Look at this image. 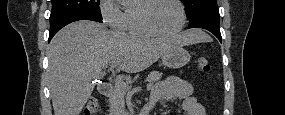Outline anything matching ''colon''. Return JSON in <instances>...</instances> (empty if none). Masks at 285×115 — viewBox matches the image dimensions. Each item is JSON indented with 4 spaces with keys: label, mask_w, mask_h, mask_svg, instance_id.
<instances>
[{
    "label": "colon",
    "mask_w": 285,
    "mask_h": 115,
    "mask_svg": "<svg viewBox=\"0 0 285 115\" xmlns=\"http://www.w3.org/2000/svg\"><path fill=\"white\" fill-rule=\"evenodd\" d=\"M196 66L199 70L203 72H207L210 70V64L207 58L205 57H199L196 60ZM99 111V103L97 99L91 98L88 100L85 109H84V114L86 115H93L96 114Z\"/></svg>",
    "instance_id": "colon-1"
}]
</instances>
